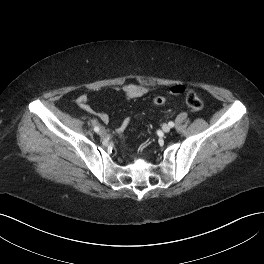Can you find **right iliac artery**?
Returning <instances> with one entry per match:
<instances>
[{
	"mask_svg": "<svg viewBox=\"0 0 264 264\" xmlns=\"http://www.w3.org/2000/svg\"><path fill=\"white\" fill-rule=\"evenodd\" d=\"M94 131H95V132H99V131H100L99 127H98V126H95V127H94Z\"/></svg>",
	"mask_w": 264,
	"mask_h": 264,
	"instance_id": "1",
	"label": "right iliac artery"
}]
</instances>
